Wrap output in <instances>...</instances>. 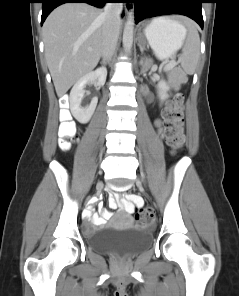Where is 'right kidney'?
<instances>
[{"mask_svg":"<svg viewBox=\"0 0 239 296\" xmlns=\"http://www.w3.org/2000/svg\"><path fill=\"white\" fill-rule=\"evenodd\" d=\"M106 77L107 70L101 67L85 74L74 84L69 97L70 110L75 119L80 123H87L90 120L98 103V98L94 97L88 106H81L85 94L84 87L88 83H96L99 87L103 86L106 82Z\"/></svg>","mask_w":239,"mask_h":296,"instance_id":"ca27d5eb","label":"right kidney"}]
</instances>
